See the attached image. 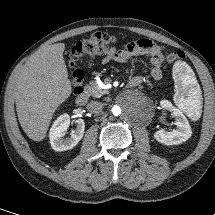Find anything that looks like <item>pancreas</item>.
Here are the masks:
<instances>
[{
    "instance_id": "obj_1",
    "label": "pancreas",
    "mask_w": 215,
    "mask_h": 215,
    "mask_svg": "<svg viewBox=\"0 0 215 215\" xmlns=\"http://www.w3.org/2000/svg\"><path fill=\"white\" fill-rule=\"evenodd\" d=\"M85 90L89 95L95 98H100L101 96L108 94V90L102 89L95 81L89 82V84L85 86Z\"/></svg>"
}]
</instances>
